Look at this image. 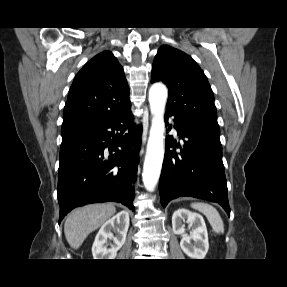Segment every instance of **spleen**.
Instances as JSON below:
<instances>
[{"label":"spleen","instance_id":"obj_1","mask_svg":"<svg viewBox=\"0 0 287 287\" xmlns=\"http://www.w3.org/2000/svg\"><path fill=\"white\" fill-rule=\"evenodd\" d=\"M191 207L202 212L216 233H224V225L219 212L210 204L203 202L192 203Z\"/></svg>","mask_w":287,"mask_h":287}]
</instances>
